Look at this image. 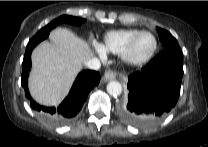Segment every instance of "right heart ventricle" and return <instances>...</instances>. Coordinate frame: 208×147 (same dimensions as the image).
<instances>
[{"instance_id": "1", "label": "right heart ventricle", "mask_w": 208, "mask_h": 147, "mask_svg": "<svg viewBox=\"0 0 208 147\" xmlns=\"http://www.w3.org/2000/svg\"><path fill=\"white\" fill-rule=\"evenodd\" d=\"M141 30L125 28L108 31L104 35L103 46L106 51L114 54H121L130 39Z\"/></svg>"}]
</instances>
